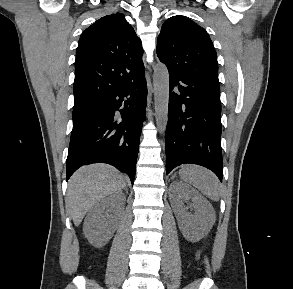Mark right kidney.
<instances>
[{
	"label": "right kidney",
	"instance_id": "right-kidney-1",
	"mask_svg": "<svg viewBox=\"0 0 293 289\" xmlns=\"http://www.w3.org/2000/svg\"><path fill=\"white\" fill-rule=\"evenodd\" d=\"M125 200V195L118 192L101 199L89 210L83 231L92 244L101 246L111 238L123 212Z\"/></svg>",
	"mask_w": 293,
	"mask_h": 289
}]
</instances>
